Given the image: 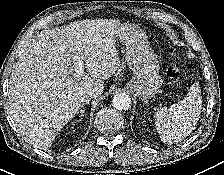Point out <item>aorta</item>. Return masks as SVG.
<instances>
[{
	"mask_svg": "<svg viewBox=\"0 0 224 175\" xmlns=\"http://www.w3.org/2000/svg\"><path fill=\"white\" fill-rule=\"evenodd\" d=\"M113 106L118 110H128L131 106V99L125 93H118L113 97Z\"/></svg>",
	"mask_w": 224,
	"mask_h": 175,
	"instance_id": "obj_1",
	"label": "aorta"
}]
</instances>
